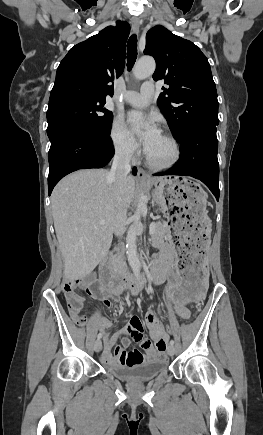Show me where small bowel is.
<instances>
[{
    "mask_svg": "<svg viewBox=\"0 0 263 435\" xmlns=\"http://www.w3.org/2000/svg\"><path fill=\"white\" fill-rule=\"evenodd\" d=\"M156 244H161L159 238L155 239ZM174 256V250L168 245H161L159 253L153 255L152 263L155 269L152 281L154 283H160L162 281L168 280L163 275L165 269V262L172 261ZM104 303L107 306L111 305V300L104 299ZM174 310L177 315L182 319H188L190 317V312L186 305H174ZM85 324L84 321L81 325ZM144 325L150 330L152 340L148 339L144 335ZM111 322L106 318H100L96 323V329L103 337V350L100 354V360L106 364H125L133 365L145 360L154 359L156 357H164L166 349L169 344L166 342L169 339V334L165 332V327L162 322L158 319L154 311H148L145 314L144 321H142L138 316L133 315L126 327L122 330L111 334L110 333ZM134 340L139 346L144 350V353L137 349L127 351L130 346L131 341ZM120 341V345L116 343ZM114 352L112 353V349Z\"/></svg>",
    "mask_w": 263,
    "mask_h": 435,
    "instance_id": "1",
    "label": "small bowel"
}]
</instances>
